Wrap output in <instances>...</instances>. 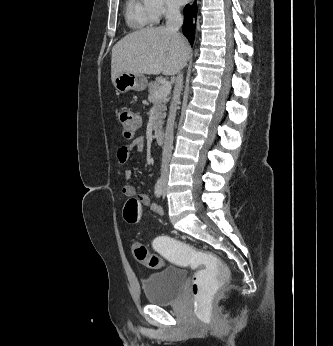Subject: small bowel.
I'll list each match as a JSON object with an SVG mask.
<instances>
[{
  "label": "small bowel",
  "instance_id": "small-bowel-1",
  "mask_svg": "<svg viewBox=\"0 0 333 346\" xmlns=\"http://www.w3.org/2000/svg\"><path fill=\"white\" fill-rule=\"evenodd\" d=\"M145 148V139L143 137H138L134 139L130 144L122 146L117 151V158L121 164H125L128 161L129 154L131 152L141 153ZM133 176V171L127 169L124 172L125 179H130ZM122 192L125 196L133 197L136 196L143 206H147L150 210L156 214H161L162 209L159 205L151 203L150 197L145 193H139L136 187L132 184H125L123 186Z\"/></svg>",
  "mask_w": 333,
  "mask_h": 346
}]
</instances>
